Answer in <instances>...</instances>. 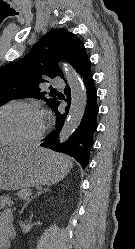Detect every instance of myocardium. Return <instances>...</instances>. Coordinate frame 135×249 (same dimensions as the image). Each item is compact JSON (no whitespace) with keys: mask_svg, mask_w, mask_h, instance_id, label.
<instances>
[{"mask_svg":"<svg viewBox=\"0 0 135 249\" xmlns=\"http://www.w3.org/2000/svg\"><path fill=\"white\" fill-rule=\"evenodd\" d=\"M13 106L25 107L38 113L42 120L41 129L38 132V134L31 139H6V140H0V144L32 146V145L39 143L41 139L44 137L46 130L48 128L47 116H46L45 111L39 105L32 103V102L11 101L0 106V112L6 108L13 107Z\"/></svg>","mask_w":135,"mask_h":249,"instance_id":"1","label":"myocardium"}]
</instances>
